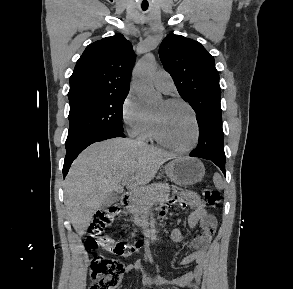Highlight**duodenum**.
<instances>
[{
  "label": "duodenum",
  "mask_w": 293,
  "mask_h": 289,
  "mask_svg": "<svg viewBox=\"0 0 293 289\" xmlns=\"http://www.w3.org/2000/svg\"><path fill=\"white\" fill-rule=\"evenodd\" d=\"M119 204L123 210H126L130 205V195L128 193L123 194ZM147 238L151 239V234H147Z\"/></svg>",
  "instance_id": "1"
}]
</instances>
